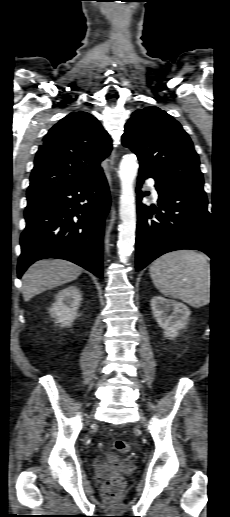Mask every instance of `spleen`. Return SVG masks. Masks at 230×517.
Listing matches in <instances>:
<instances>
[{
  "label": "spleen",
  "mask_w": 230,
  "mask_h": 517,
  "mask_svg": "<svg viewBox=\"0 0 230 517\" xmlns=\"http://www.w3.org/2000/svg\"><path fill=\"white\" fill-rule=\"evenodd\" d=\"M210 273L206 257L191 250L167 253L150 266L152 281L163 295L196 308L210 301Z\"/></svg>",
  "instance_id": "3e777b00"
}]
</instances>
